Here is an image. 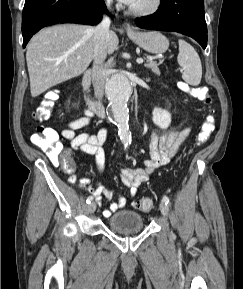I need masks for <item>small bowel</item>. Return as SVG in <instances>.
Returning a JSON list of instances; mask_svg holds the SVG:
<instances>
[{"label":"small bowel","instance_id":"small-bowel-1","mask_svg":"<svg viewBox=\"0 0 243 289\" xmlns=\"http://www.w3.org/2000/svg\"><path fill=\"white\" fill-rule=\"evenodd\" d=\"M93 113L85 111L82 117L70 121L60 131V136L69 142L71 150H79L84 153L93 155L97 169L103 174L105 155L102 145L106 139V129H100L98 133L79 131L91 124ZM190 132V128L173 129L170 131L153 132L150 141V158L143 162V166L139 168H122L120 170L121 181L124 186L129 189L130 196L137 194L141 184L149 179V175L157 168L168 164L174 156L180 145L186 139ZM77 180L75 175H71L69 181L75 183ZM79 186L89 191L92 197L100 203L103 196L111 200L113 193L110 189L103 186L100 182L91 184L86 178H81ZM127 204L126 198L119 196L116 201L110 203L109 209L103 211L105 217L111 216L113 213L124 208Z\"/></svg>","mask_w":243,"mask_h":289}]
</instances>
